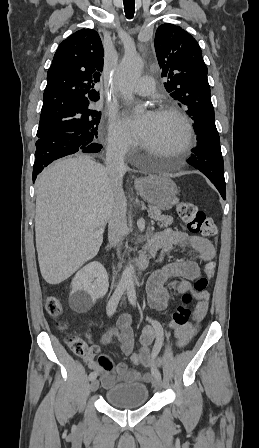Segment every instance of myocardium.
Listing matches in <instances>:
<instances>
[{
    "mask_svg": "<svg viewBox=\"0 0 259 448\" xmlns=\"http://www.w3.org/2000/svg\"><path fill=\"white\" fill-rule=\"evenodd\" d=\"M157 115H173L175 116L181 123L183 128V133L179 141L168 149L170 155L175 156L179 159H183L186 156L187 149L190 145L193 135L192 125L185 115V113L176 105L171 103H166L158 107ZM141 148H147L146 146L140 144ZM148 149V148H147Z\"/></svg>",
    "mask_w": 259,
    "mask_h": 448,
    "instance_id": "obj_1",
    "label": "myocardium"
}]
</instances>
